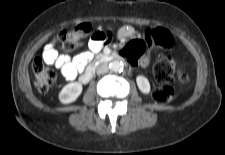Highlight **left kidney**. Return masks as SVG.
<instances>
[{"mask_svg":"<svg viewBox=\"0 0 225 155\" xmlns=\"http://www.w3.org/2000/svg\"><path fill=\"white\" fill-rule=\"evenodd\" d=\"M136 82L139 90L144 93V94H149L150 92V83L148 79L144 76H137L136 77Z\"/></svg>","mask_w":225,"mask_h":155,"instance_id":"obj_1","label":"left kidney"}]
</instances>
